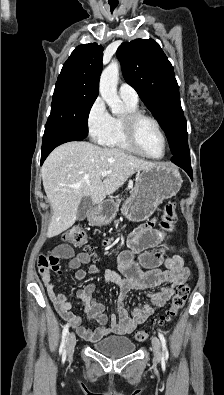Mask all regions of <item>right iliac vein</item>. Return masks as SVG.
Wrapping results in <instances>:
<instances>
[{"mask_svg": "<svg viewBox=\"0 0 224 395\" xmlns=\"http://www.w3.org/2000/svg\"><path fill=\"white\" fill-rule=\"evenodd\" d=\"M75 345H76V336L73 332H70L66 340V352L68 356L73 355Z\"/></svg>", "mask_w": 224, "mask_h": 395, "instance_id": "1", "label": "right iliac vein"}]
</instances>
